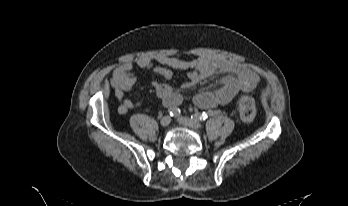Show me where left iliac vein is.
Returning a JSON list of instances; mask_svg holds the SVG:
<instances>
[{"label":"left iliac vein","instance_id":"left-iliac-vein-1","mask_svg":"<svg viewBox=\"0 0 348 206\" xmlns=\"http://www.w3.org/2000/svg\"><path fill=\"white\" fill-rule=\"evenodd\" d=\"M177 121L181 124V125H183V126H185V127H188V128H191V129H201V127H202V125H201V123L200 122H198V121H195V120H193V119H191V118H189V117H179L178 119H177Z\"/></svg>","mask_w":348,"mask_h":206}]
</instances>
